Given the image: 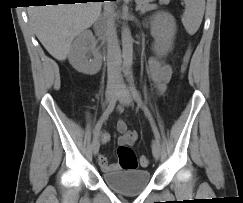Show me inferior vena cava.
<instances>
[{
    "label": "inferior vena cava",
    "mask_w": 243,
    "mask_h": 203,
    "mask_svg": "<svg viewBox=\"0 0 243 203\" xmlns=\"http://www.w3.org/2000/svg\"><path fill=\"white\" fill-rule=\"evenodd\" d=\"M105 25V33L107 37V67L108 76L112 78H119L121 65V51L116 35L114 18L111 9H106L103 17Z\"/></svg>",
    "instance_id": "inferior-vena-cava-1"
}]
</instances>
